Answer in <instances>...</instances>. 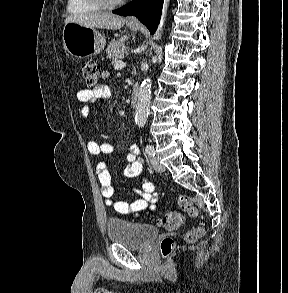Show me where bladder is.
<instances>
[{"label": "bladder", "mask_w": 288, "mask_h": 293, "mask_svg": "<svg viewBox=\"0 0 288 293\" xmlns=\"http://www.w3.org/2000/svg\"><path fill=\"white\" fill-rule=\"evenodd\" d=\"M106 230L111 242L130 249H144L158 236V230L152 225L119 219L109 220Z\"/></svg>", "instance_id": "obj_1"}]
</instances>
